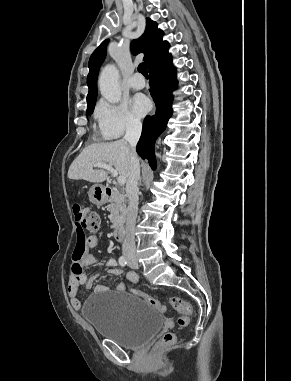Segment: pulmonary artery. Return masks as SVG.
Returning a JSON list of instances; mask_svg holds the SVG:
<instances>
[{"label":"pulmonary artery","instance_id":"e3ab8cb5","mask_svg":"<svg viewBox=\"0 0 291 381\" xmlns=\"http://www.w3.org/2000/svg\"><path fill=\"white\" fill-rule=\"evenodd\" d=\"M129 86L132 89L140 90L145 87V80L141 74L135 73L129 79Z\"/></svg>","mask_w":291,"mask_h":381}]
</instances>
